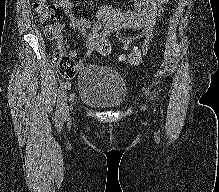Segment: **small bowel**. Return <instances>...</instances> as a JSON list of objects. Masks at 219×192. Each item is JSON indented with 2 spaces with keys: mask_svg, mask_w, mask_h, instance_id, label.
<instances>
[{
  "mask_svg": "<svg viewBox=\"0 0 219 192\" xmlns=\"http://www.w3.org/2000/svg\"><path fill=\"white\" fill-rule=\"evenodd\" d=\"M133 9L118 10L110 5L101 6L95 15L81 14L73 9L72 0H55L69 19V27L79 31L85 38V57L96 51V40L105 38L112 32L121 33L124 30L139 31L133 39H142L141 47H134L142 55L147 54L149 43L154 36L157 20L164 13V6L169 0H132ZM132 38H126L129 44ZM78 49L70 51L71 56H77Z\"/></svg>",
  "mask_w": 219,
  "mask_h": 192,
  "instance_id": "obj_1",
  "label": "small bowel"
}]
</instances>
